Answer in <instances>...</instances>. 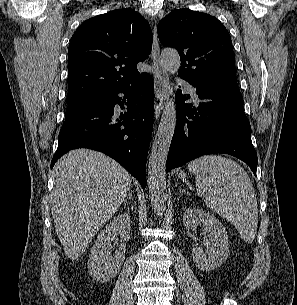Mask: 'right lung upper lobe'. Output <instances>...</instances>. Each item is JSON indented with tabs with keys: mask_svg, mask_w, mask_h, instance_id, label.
I'll use <instances>...</instances> for the list:
<instances>
[{
	"mask_svg": "<svg viewBox=\"0 0 297 305\" xmlns=\"http://www.w3.org/2000/svg\"><path fill=\"white\" fill-rule=\"evenodd\" d=\"M152 31L133 9L113 10L83 22L68 48L67 103L105 96L145 73L137 64L148 58Z\"/></svg>",
	"mask_w": 297,
	"mask_h": 305,
	"instance_id": "right-lung-upper-lobe-1",
	"label": "right lung upper lobe"
}]
</instances>
